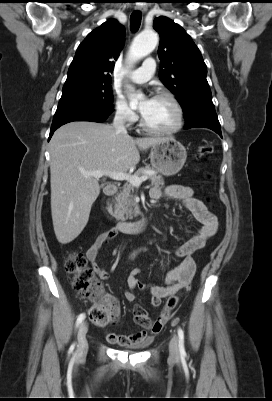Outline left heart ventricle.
Returning <instances> with one entry per match:
<instances>
[{
  "instance_id": "left-heart-ventricle-1",
  "label": "left heart ventricle",
  "mask_w": 272,
  "mask_h": 401,
  "mask_svg": "<svg viewBox=\"0 0 272 401\" xmlns=\"http://www.w3.org/2000/svg\"><path fill=\"white\" fill-rule=\"evenodd\" d=\"M144 107V102L140 109ZM145 123L155 129L171 128L176 122V110L167 99L153 98L141 113Z\"/></svg>"
}]
</instances>
